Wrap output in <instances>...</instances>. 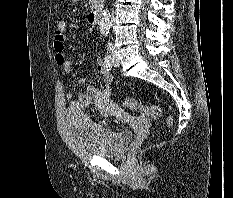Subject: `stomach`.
Returning a JSON list of instances; mask_svg holds the SVG:
<instances>
[{
    "instance_id": "1",
    "label": "stomach",
    "mask_w": 233,
    "mask_h": 198,
    "mask_svg": "<svg viewBox=\"0 0 233 198\" xmlns=\"http://www.w3.org/2000/svg\"><path fill=\"white\" fill-rule=\"evenodd\" d=\"M71 2H73V3H76V2H78L79 0H70Z\"/></svg>"
}]
</instances>
